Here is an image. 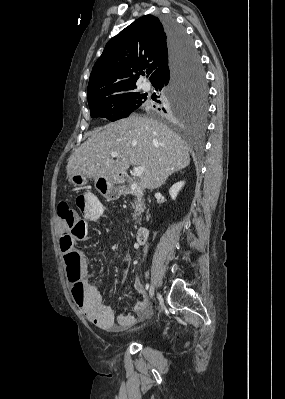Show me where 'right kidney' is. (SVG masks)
<instances>
[{"label": "right kidney", "mask_w": 285, "mask_h": 399, "mask_svg": "<svg viewBox=\"0 0 285 399\" xmlns=\"http://www.w3.org/2000/svg\"><path fill=\"white\" fill-rule=\"evenodd\" d=\"M184 186V181H180L175 183L170 189H169V194L173 200L176 199L179 191L182 189Z\"/></svg>", "instance_id": "right-kidney-1"}]
</instances>
